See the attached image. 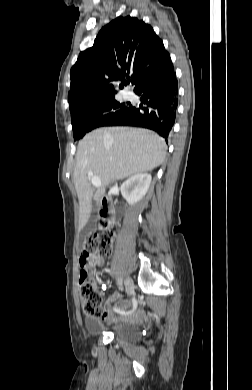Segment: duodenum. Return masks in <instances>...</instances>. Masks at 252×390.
I'll list each match as a JSON object with an SVG mask.
<instances>
[{"label":"duodenum","mask_w":252,"mask_h":390,"mask_svg":"<svg viewBox=\"0 0 252 390\" xmlns=\"http://www.w3.org/2000/svg\"><path fill=\"white\" fill-rule=\"evenodd\" d=\"M100 205H101V217L103 218L102 228L108 229L114 223L111 203L107 197H102L100 200Z\"/></svg>","instance_id":"duodenum-1"}]
</instances>
